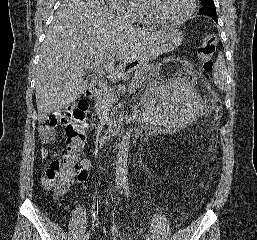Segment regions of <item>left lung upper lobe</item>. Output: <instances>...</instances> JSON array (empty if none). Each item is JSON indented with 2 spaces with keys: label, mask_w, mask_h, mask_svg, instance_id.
Listing matches in <instances>:
<instances>
[{
  "label": "left lung upper lobe",
  "mask_w": 257,
  "mask_h": 240,
  "mask_svg": "<svg viewBox=\"0 0 257 240\" xmlns=\"http://www.w3.org/2000/svg\"><path fill=\"white\" fill-rule=\"evenodd\" d=\"M202 8L199 10V14L210 16L217 22L216 7L213 0H200Z\"/></svg>",
  "instance_id": "1"
}]
</instances>
